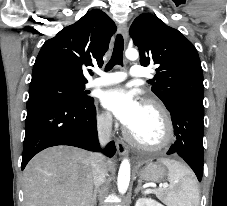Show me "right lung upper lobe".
<instances>
[{"label": "right lung upper lobe", "instance_id": "1", "mask_svg": "<svg viewBox=\"0 0 227 206\" xmlns=\"http://www.w3.org/2000/svg\"><path fill=\"white\" fill-rule=\"evenodd\" d=\"M115 32L114 22L103 11L87 12L43 44L33 66L31 83L45 79L87 83L83 71L87 66L103 65V56Z\"/></svg>", "mask_w": 227, "mask_h": 206}]
</instances>
